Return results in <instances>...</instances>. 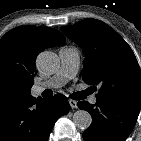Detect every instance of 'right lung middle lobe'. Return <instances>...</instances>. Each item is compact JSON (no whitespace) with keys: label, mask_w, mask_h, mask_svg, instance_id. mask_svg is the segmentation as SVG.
Segmentation results:
<instances>
[{"label":"right lung middle lobe","mask_w":141,"mask_h":141,"mask_svg":"<svg viewBox=\"0 0 141 141\" xmlns=\"http://www.w3.org/2000/svg\"><path fill=\"white\" fill-rule=\"evenodd\" d=\"M33 81L23 77H9L0 81V100H11L30 95Z\"/></svg>","instance_id":"obj_1"}]
</instances>
